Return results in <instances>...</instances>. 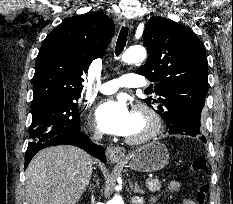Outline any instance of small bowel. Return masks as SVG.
Wrapping results in <instances>:
<instances>
[{"mask_svg": "<svg viewBox=\"0 0 233 204\" xmlns=\"http://www.w3.org/2000/svg\"><path fill=\"white\" fill-rule=\"evenodd\" d=\"M179 189V183L176 181L170 182L168 186V190L171 192H176ZM181 204H194V202L188 198H184L181 202Z\"/></svg>", "mask_w": 233, "mask_h": 204, "instance_id": "obj_1", "label": "small bowel"}]
</instances>
